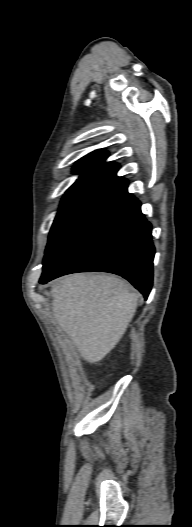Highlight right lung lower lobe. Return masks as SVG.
Here are the masks:
<instances>
[{"label":"right lung lower lobe","mask_w":192,"mask_h":527,"mask_svg":"<svg viewBox=\"0 0 192 527\" xmlns=\"http://www.w3.org/2000/svg\"><path fill=\"white\" fill-rule=\"evenodd\" d=\"M127 186L121 177L104 185L45 256L41 284L69 273L110 272L147 299L155 254L152 229Z\"/></svg>","instance_id":"right-lung-lower-lobe-1"}]
</instances>
